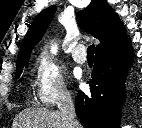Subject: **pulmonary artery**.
Returning a JSON list of instances; mask_svg holds the SVG:
<instances>
[{"mask_svg":"<svg viewBox=\"0 0 142 128\" xmlns=\"http://www.w3.org/2000/svg\"><path fill=\"white\" fill-rule=\"evenodd\" d=\"M73 59L80 64L86 62V49L82 44L77 45L72 51Z\"/></svg>","mask_w":142,"mask_h":128,"instance_id":"obj_1","label":"pulmonary artery"}]
</instances>
